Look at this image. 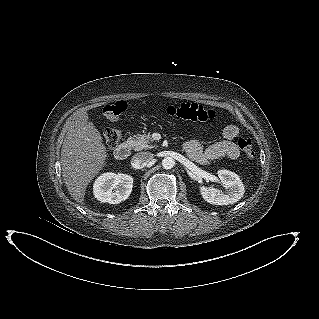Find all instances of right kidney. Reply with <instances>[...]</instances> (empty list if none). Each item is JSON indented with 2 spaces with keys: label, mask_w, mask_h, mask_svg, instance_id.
<instances>
[{
  "label": "right kidney",
  "mask_w": 319,
  "mask_h": 319,
  "mask_svg": "<svg viewBox=\"0 0 319 319\" xmlns=\"http://www.w3.org/2000/svg\"><path fill=\"white\" fill-rule=\"evenodd\" d=\"M133 178L127 174L107 172L101 174L93 184V193L100 202L118 204L126 200L132 191Z\"/></svg>",
  "instance_id": "obj_1"
}]
</instances>
